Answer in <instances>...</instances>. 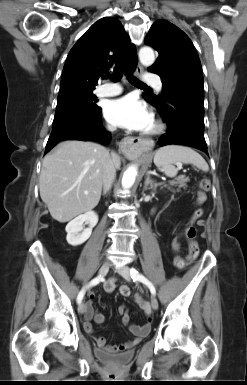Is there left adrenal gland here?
Wrapping results in <instances>:
<instances>
[{
    "label": "left adrenal gland",
    "instance_id": "a2214340",
    "mask_svg": "<svg viewBox=\"0 0 247 385\" xmlns=\"http://www.w3.org/2000/svg\"><path fill=\"white\" fill-rule=\"evenodd\" d=\"M155 189L154 181L150 178V174H146L144 181V190Z\"/></svg>",
    "mask_w": 247,
    "mask_h": 385
}]
</instances>
